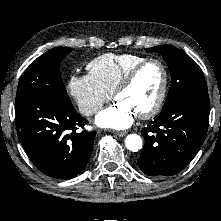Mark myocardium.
<instances>
[{"mask_svg":"<svg viewBox=\"0 0 221 221\" xmlns=\"http://www.w3.org/2000/svg\"><path fill=\"white\" fill-rule=\"evenodd\" d=\"M152 63L159 65L162 70V74H163L162 85H161V89H160L159 95L155 103L148 110L137 114V117L140 119H149L155 116L161 110L165 102L167 91H168V86H169V72L165 63L161 61L160 59H156V58H149L138 63L127 72V74L121 79V81L118 83V85L116 86L113 92V97L116 99V97L122 91L127 89L133 83V81L136 79L140 71L144 67Z\"/></svg>","mask_w":221,"mask_h":221,"instance_id":"myocardium-1","label":"myocardium"}]
</instances>
